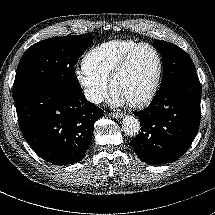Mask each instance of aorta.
<instances>
[{
    "instance_id": "obj_1",
    "label": "aorta",
    "mask_w": 215,
    "mask_h": 215,
    "mask_svg": "<svg viewBox=\"0 0 215 215\" xmlns=\"http://www.w3.org/2000/svg\"><path fill=\"white\" fill-rule=\"evenodd\" d=\"M122 127L124 129V132L128 136H136L138 135L141 126H140V121L139 119L135 117H125L123 122H122Z\"/></svg>"
}]
</instances>
